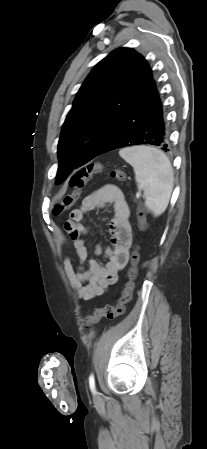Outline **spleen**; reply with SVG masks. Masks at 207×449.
Masks as SVG:
<instances>
[{
	"instance_id": "1",
	"label": "spleen",
	"mask_w": 207,
	"mask_h": 449,
	"mask_svg": "<svg viewBox=\"0 0 207 449\" xmlns=\"http://www.w3.org/2000/svg\"><path fill=\"white\" fill-rule=\"evenodd\" d=\"M119 155L133 167L137 186L144 191L146 207L154 216L161 215L174 185L169 158L161 150L145 145L121 149Z\"/></svg>"
}]
</instances>
